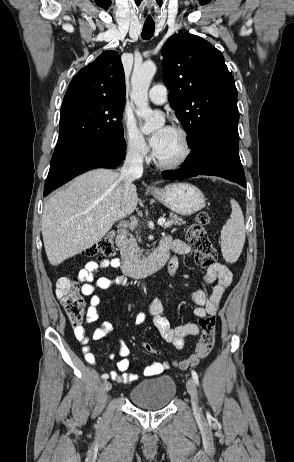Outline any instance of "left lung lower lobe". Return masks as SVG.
<instances>
[{
  "label": "left lung lower lobe",
  "mask_w": 294,
  "mask_h": 462,
  "mask_svg": "<svg viewBox=\"0 0 294 462\" xmlns=\"http://www.w3.org/2000/svg\"><path fill=\"white\" fill-rule=\"evenodd\" d=\"M239 113H232L213 124L207 133L190 148L178 170L163 171L164 179H180L198 175L219 176L246 188L245 174L238 154Z\"/></svg>",
  "instance_id": "0a47b994"
}]
</instances>
